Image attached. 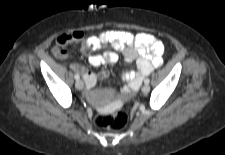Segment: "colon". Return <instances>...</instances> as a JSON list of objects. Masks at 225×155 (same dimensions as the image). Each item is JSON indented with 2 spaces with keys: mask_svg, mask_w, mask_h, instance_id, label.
<instances>
[{
  "mask_svg": "<svg viewBox=\"0 0 225 155\" xmlns=\"http://www.w3.org/2000/svg\"><path fill=\"white\" fill-rule=\"evenodd\" d=\"M129 121V116L124 110L99 115L95 118V125L99 128H104L111 131H119L124 129Z\"/></svg>",
  "mask_w": 225,
  "mask_h": 155,
  "instance_id": "5ec220e1",
  "label": "colon"
}]
</instances>
